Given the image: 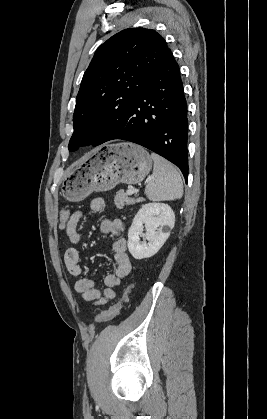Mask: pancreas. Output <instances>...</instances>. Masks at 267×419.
Segmentation results:
<instances>
[{"mask_svg": "<svg viewBox=\"0 0 267 419\" xmlns=\"http://www.w3.org/2000/svg\"><path fill=\"white\" fill-rule=\"evenodd\" d=\"M141 201L142 198L134 199L128 197V195L123 190H119L114 197V203L118 209H123L124 206L133 205Z\"/></svg>", "mask_w": 267, "mask_h": 419, "instance_id": "1", "label": "pancreas"}]
</instances>
